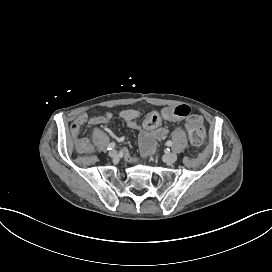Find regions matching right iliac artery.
<instances>
[{
    "label": "right iliac artery",
    "instance_id": "obj_1",
    "mask_svg": "<svg viewBox=\"0 0 272 272\" xmlns=\"http://www.w3.org/2000/svg\"><path fill=\"white\" fill-rule=\"evenodd\" d=\"M115 146H116V144L114 142H112L108 145L107 150H112Z\"/></svg>",
    "mask_w": 272,
    "mask_h": 272
}]
</instances>
